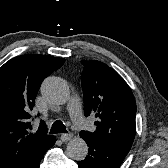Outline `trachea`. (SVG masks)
Segmentation results:
<instances>
[{
    "mask_svg": "<svg viewBox=\"0 0 168 168\" xmlns=\"http://www.w3.org/2000/svg\"><path fill=\"white\" fill-rule=\"evenodd\" d=\"M50 133L56 134V133H68V132L66 130L65 125L60 120H57L52 124Z\"/></svg>",
    "mask_w": 168,
    "mask_h": 168,
    "instance_id": "obj_1",
    "label": "trachea"
}]
</instances>
